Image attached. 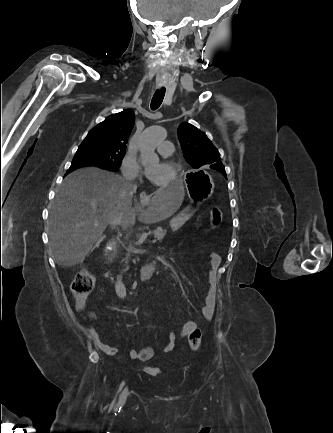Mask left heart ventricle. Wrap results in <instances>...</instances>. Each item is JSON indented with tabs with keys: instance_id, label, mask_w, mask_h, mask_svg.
<instances>
[{
	"instance_id": "b2bd125f",
	"label": "left heart ventricle",
	"mask_w": 333,
	"mask_h": 433,
	"mask_svg": "<svg viewBox=\"0 0 333 433\" xmlns=\"http://www.w3.org/2000/svg\"><path fill=\"white\" fill-rule=\"evenodd\" d=\"M156 152L157 153H153L154 160L152 166L159 169L157 182L162 183L169 179L171 175V170L165 163L159 161L158 156H161V154L158 151Z\"/></svg>"
}]
</instances>
